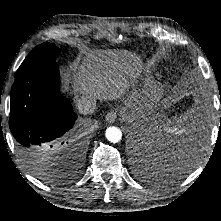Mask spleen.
I'll list each match as a JSON object with an SVG mask.
<instances>
[{
    "label": "spleen",
    "instance_id": "spleen-1",
    "mask_svg": "<svg viewBox=\"0 0 221 221\" xmlns=\"http://www.w3.org/2000/svg\"><path fill=\"white\" fill-rule=\"evenodd\" d=\"M162 130L167 133V136L168 137H172V136H177V135H182L184 132H186L187 130V127H180L178 125H175V126H169L168 124L167 125H164Z\"/></svg>",
    "mask_w": 221,
    "mask_h": 221
}]
</instances>
